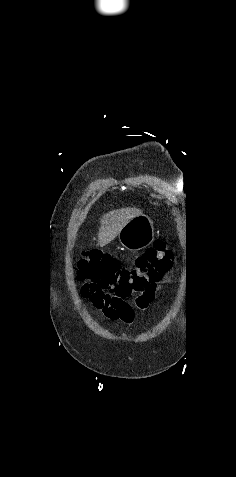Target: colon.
Segmentation results:
<instances>
[{"mask_svg": "<svg viewBox=\"0 0 236 477\" xmlns=\"http://www.w3.org/2000/svg\"><path fill=\"white\" fill-rule=\"evenodd\" d=\"M172 253L164 241H157L139 256L133 267L122 266L111 255L99 251L86 253L78 263V279L84 281L83 295L100 308L110 305L121 314L136 301L156 290L171 266Z\"/></svg>", "mask_w": 236, "mask_h": 477, "instance_id": "obj_1", "label": "colon"}]
</instances>
